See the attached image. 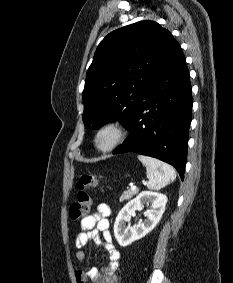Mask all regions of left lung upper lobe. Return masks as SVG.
I'll list each match as a JSON object with an SVG mask.
<instances>
[{
  "instance_id": "left-lung-upper-lobe-1",
  "label": "left lung upper lobe",
  "mask_w": 233,
  "mask_h": 283,
  "mask_svg": "<svg viewBox=\"0 0 233 283\" xmlns=\"http://www.w3.org/2000/svg\"><path fill=\"white\" fill-rule=\"evenodd\" d=\"M177 43L154 21H140L109 33L98 45L83 90L85 127L119 120L127 126L146 82Z\"/></svg>"
}]
</instances>
